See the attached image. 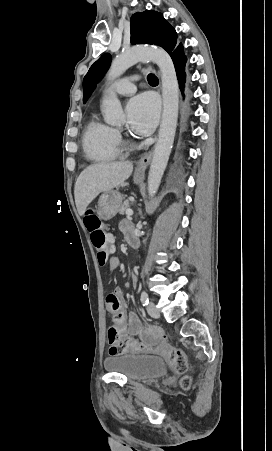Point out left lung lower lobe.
Listing matches in <instances>:
<instances>
[{
	"mask_svg": "<svg viewBox=\"0 0 272 451\" xmlns=\"http://www.w3.org/2000/svg\"><path fill=\"white\" fill-rule=\"evenodd\" d=\"M183 50L184 49L182 43H179L170 55L176 69L177 78L179 80L180 89L182 92L184 90V83L186 81L185 64L187 61V57L185 56Z\"/></svg>",
	"mask_w": 272,
	"mask_h": 451,
	"instance_id": "0a47b994",
	"label": "left lung lower lobe"
}]
</instances>
